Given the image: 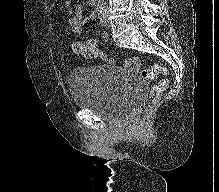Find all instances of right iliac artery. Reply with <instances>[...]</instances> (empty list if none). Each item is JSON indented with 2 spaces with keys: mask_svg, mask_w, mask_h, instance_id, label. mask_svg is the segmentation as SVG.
I'll return each mask as SVG.
<instances>
[{
  "mask_svg": "<svg viewBox=\"0 0 219 192\" xmlns=\"http://www.w3.org/2000/svg\"><path fill=\"white\" fill-rule=\"evenodd\" d=\"M103 10H104V5H103V4H98V5L96 6V8H95V12H96L98 15L102 14Z\"/></svg>",
  "mask_w": 219,
  "mask_h": 192,
  "instance_id": "obj_1",
  "label": "right iliac artery"
}]
</instances>
